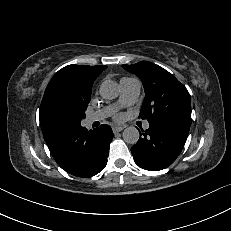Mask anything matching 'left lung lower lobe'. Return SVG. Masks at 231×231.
Here are the masks:
<instances>
[{"label": "left lung lower lobe", "instance_id": "left-lung-lower-lobe-1", "mask_svg": "<svg viewBox=\"0 0 231 231\" xmlns=\"http://www.w3.org/2000/svg\"><path fill=\"white\" fill-rule=\"evenodd\" d=\"M149 125V129L142 130L131 152L141 168L162 170L171 165L182 151L190 125L165 118L153 119Z\"/></svg>", "mask_w": 231, "mask_h": 231}]
</instances>
